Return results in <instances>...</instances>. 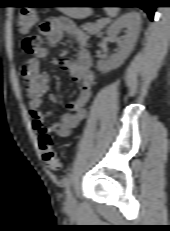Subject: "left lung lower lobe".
Segmentation results:
<instances>
[{"instance_id": "obj_1", "label": "left lung lower lobe", "mask_w": 170, "mask_h": 231, "mask_svg": "<svg viewBox=\"0 0 170 231\" xmlns=\"http://www.w3.org/2000/svg\"><path fill=\"white\" fill-rule=\"evenodd\" d=\"M105 3H117V4H135L134 7H140L143 9L149 18L153 20L155 5L153 0H108Z\"/></svg>"}]
</instances>
